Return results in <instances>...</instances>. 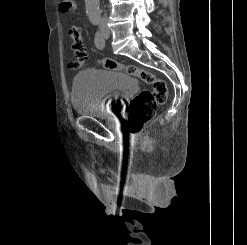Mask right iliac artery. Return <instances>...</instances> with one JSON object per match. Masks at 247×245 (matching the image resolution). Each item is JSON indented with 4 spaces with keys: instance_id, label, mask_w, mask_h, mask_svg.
I'll list each match as a JSON object with an SVG mask.
<instances>
[{
    "instance_id": "1",
    "label": "right iliac artery",
    "mask_w": 247,
    "mask_h": 245,
    "mask_svg": "<svg viewBox=\"0 0 247 245\" xmlns=\"http://www.w3.org/2000/svg\"><path fill=\"white\" fill-rule=\"evenodd\" d=\"M94 42L96 47L100 50H102L105 47V40L100 31L96 33Z\"/></svg>"
}]
</instances>
